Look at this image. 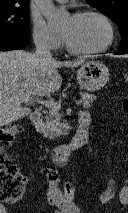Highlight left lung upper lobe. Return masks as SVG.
<instances>
[{
  "label": "left lung upper lobe",
  "instance_id": "obj_1",
  "mask_svg": "<svg viewBox=\"0 0 128 213\" xmlns=\"http://www.w3.org/2000/svg\"><path fill=\"white\" fill-rule=\"evenodd\" d=\"M114 21L120 31L119 50L128 49V0H86Z\"/></svg>",
  "mask_w": 128,
  "mask_h": 213
}]
</instances>
